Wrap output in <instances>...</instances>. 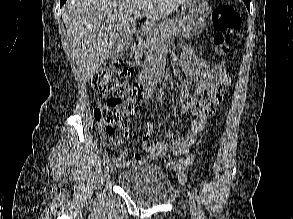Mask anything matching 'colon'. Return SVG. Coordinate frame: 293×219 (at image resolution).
I'll use <instances>...</instances> for the list:
<instances>
[{
    "label": "colon",
    "instance_id": "1",
    "mask_svg": "<svg viewBox=\"0 0 293 219\" xmlns=\"http://www.w3.org/2000/svg\"><path fill=\"white\" fill-rule=\"evenodd\" d=\"M213 23L218 30L214 38V50L217 55L230 53L232 44L228 35L241 27V17L236 9L230 5L215 7L212 14ZM141 58V51L134 46L122 58L104 64L90 78V85L97 95L105 102L94 108V118L108 135H113L116 127L129 125L132 115L137 109V101L142 97L141 88L131 80L136 64ZM219 73L225 74V62L217 64ZM163 157L167 158L168 154ZM194 157L177 161H168V166L180 173L189 166Z\"/></svg>",
    "mask_w": 293,
    "mask_h": 219
}]
</instances>
